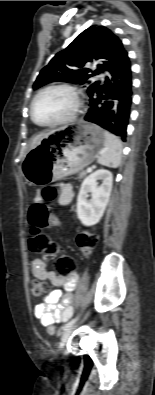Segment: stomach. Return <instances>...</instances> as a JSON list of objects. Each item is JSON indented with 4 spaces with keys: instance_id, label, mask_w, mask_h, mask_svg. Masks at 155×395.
Instances as JSON below:
<instances>
[{
    "instance_id": "1",
    "label": "stomach",
    "mask_w": 155,
    "mask_h": 395,
    "mask_svg": "<svg viewBox=\"0 0 155 395\" xmlns=\"http://www.w3.org/2000/svg\"><path fill=\"white\" fill-rule=\"evenodd\" d=\"M104 143V130L94 124L79 120L63 126L27 153L23 175L35 186L54 182L91 164Z\"/></svg>"
}]
</instances>
